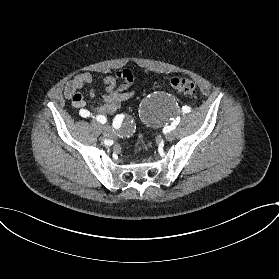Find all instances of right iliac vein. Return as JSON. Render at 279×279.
<instances>
[{"label":"right iliac vein","mask_w":279,"mask_h":279,"mask_svg":"<svg viewBox=\"0 0 279 279\" xmlns=\"http://www.w3.org/2000/svg\"><path fill=\"white\" fill-rule=\"evenodd\" d=\"M100 131H101L103 134H106V135H107V134H108V135L111 134V128H110L109 126H106V125L100 127Z\"/></svg>","instance_id":"63e3f726"}]
</instances>
